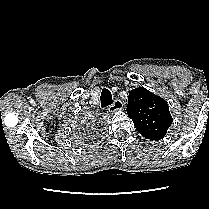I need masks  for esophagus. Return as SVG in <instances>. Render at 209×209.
I'll list each match as a JSON object with an SVG mask.
<instances>
[{
  "mask_svg": "<svg viewBox=\"0 0 209 209\" xmlns=\"http://www.w3.org/2000/svg\"><path fill=\"white\" fill-rule=\"evenodd\" d=\"M123 108V103L120 100H115L112 105L109 106L110 112H115L117 110H121Z\"/></svg>",
  "mask_w": 209,
  "mask_h": 209,
  "instance_id": "obj_1",
  "label": "esophagus"
}]
</instances>
